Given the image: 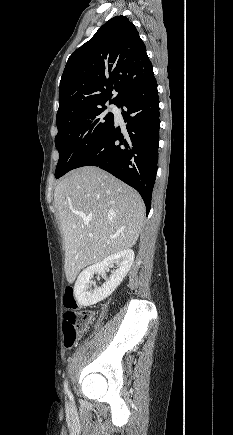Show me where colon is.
I'll use <instances>...</instances> for the list:
<instances>
[{
    "label": "colon",
    "mask_w": 233,
    "mask_h": 435,
    "mask_svg": "<svg viewBox=\"0 0 233 435\" xmlns=\"http://www.w3.org/2000/svg\"><path fill=\"white\" fill-rule=\"evenodd\" d=\"M64 305L69 309L64 320V345L67 350L74 347L80 335L85 331L93 319V313L88 310H78L74 296V286L65 288Z\"/></svg>",
    "instance_id": "colon-1"
}]
</instances>
